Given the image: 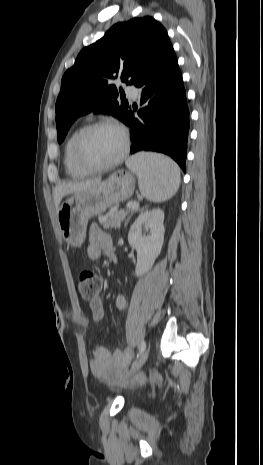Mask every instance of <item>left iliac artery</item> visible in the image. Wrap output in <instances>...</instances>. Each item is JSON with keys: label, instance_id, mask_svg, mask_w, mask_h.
Listing matches in <instances>:
<instances>
[{"label": "left iliac artery", "instance_id": "1", "mask_svg": "<svg viewBox=\"0 0 263 465\" xmlns=\"http://www.w3.org/2000/svg\"><path fill=\"white\" fill-rule=\"evenodd\" d=\"M146 349V342L144 340H141L140 345H139V353L137 354V358L145 351Z\"/></svg>", "mask_w": 263, "mask_h": 465}]
</instances>
